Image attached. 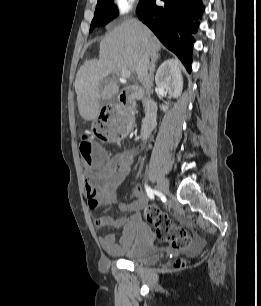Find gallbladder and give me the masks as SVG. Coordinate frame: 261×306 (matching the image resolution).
Instances as JSON below:
<instances>
[{"label": "gallbladder", "instance_id": "obj_1", "mask_svg": "<svg viewBox=\"0 0 261 306\" xmlns=\"http://www.w3.org/2000/svg\"><path fill=\"white\" fill-rule=\"evenodd\" d=\"M109 83V80L108 79H105L104 81H102L100 83V90H103V88ZM104 100H101L100 103H103Z\"/></svg>", "mask_w": 261, "mask_h": 306}]
</instances>
